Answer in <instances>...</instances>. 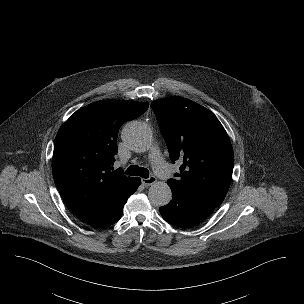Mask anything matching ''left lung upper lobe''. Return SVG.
Wrapping results in <instances>:
<instances>
[{
    "label": "left lung upper lobe",
    "instance_id": "5c2ea615",
    "mask_svg": "<svg viewBox=\"0 0 304 304\" xmlns=\"http://www.w3.org/2000/svg\"><path fill=\"white\" fill-rule=\"evenodd\" d=\"M172 162L183 164L177 179L168 180L172 191L218 207L229 189L233 172V149L214 114L182 97L152 102Z\"/></svg>",
    "mask_w": 304,
    "mask_h": 304
}]
</instances>
